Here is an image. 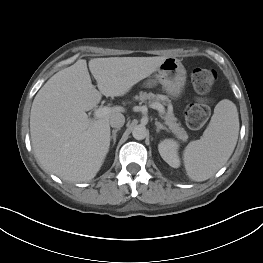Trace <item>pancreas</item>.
<instances>
[{
  "instance_id": "1",
  "label": "pancreas",
  "mask_w": 263,
  "mask_h": 263,
  "mask_svg": "<svg viewBox=\"0 0 263 263\" xmlns=\"http://www.w3.org/2000/svg\"><path fill=\"white\" fill-rule=\"evenodd\" d=\"M136 100H140L141 102H152V103H160L164 102L167 99L166 96L160 94H153L147 92H140L139 96L135 97ZM165 124L169 127L171 132L180 140L186 142L188 139V135L184 128L180 127V124L177 123V118L174 116L172 111H168L164 116Z\"/></svg>"
}]
</instances>
